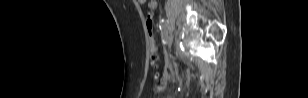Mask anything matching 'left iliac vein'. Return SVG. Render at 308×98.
<instances>
[{"instance_id":"1","label":"left iliac vein","mask_w":308,"mask_h":98,"mask_svg":"<svg viewBox=\"0 0 308 98\" xmlns=\"http://www.w3.org/2000/svg\"><path fill=\"white\" fill-rule=\"evenodd\" d=\"M173 40H174V36H173L172 33H170L169 36H168V47L169 48L171 47Z\"/></svg>"}]
</instances>
